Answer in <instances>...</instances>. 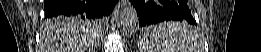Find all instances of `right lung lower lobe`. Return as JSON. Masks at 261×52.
I'll list each match as a JSON object with an SVG mask.
<instances>
[{
  "label": "right lung lower lobe",
  "instance_id": "1",
  "mask_svg": "<svg viewBox=\"0 0 261 52\" xmlns=\"http://www.w3.org/2000/svg\"><path fill=\"white\" fill-rule=\"evenodd\" d=\"M117 0H45V18L56 16H85L100 20L108 16Z\"/></svg>",
  "mask_w": 261,
  "mask_h": 52
}]
</instances>
